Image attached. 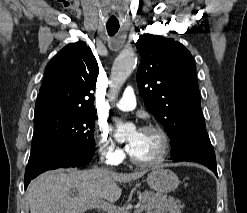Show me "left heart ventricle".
Returning a JSON list of instances; mask_svg holds the SVG:
<instances>
[{
    "mask_svg": "<svg viewBox=\"0 0 247 213\" xmlns=\"http://www.w3.org/2000/svg\"><path fill=\"white\" fill-rule=\"evenodd\" d=\"M129 143H134L130 153L142 161L155 159L162 147L161 139L158 134L148 131L133 132L128 137Z\"/></svg>",
    "mask_w": 247,
    "mask_h": 213,
    "instance_id": "obj_1",
    "label": "left heart ventricle"
}]
</instances>
